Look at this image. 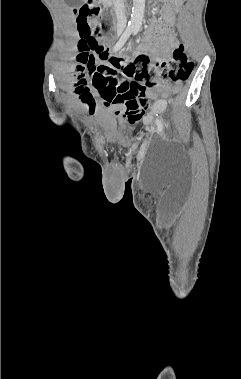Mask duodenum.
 Masks as SVG:
<instances>
[{
  "label": "duodenum",
  "instance_id": "410a0bca",
  "mask_svg": "<svg viewBox=\"0 0 241 379\" xmlns=\"http://www.w3.org/2000/svg\"><path fill=\"white\" fill-rule=\"evenodd\" d=\"M113 0H104L105 4L111 5Z\"/></svg>",
  "mask_w": 241,
  "mask_h": 379
}]
</instances>
